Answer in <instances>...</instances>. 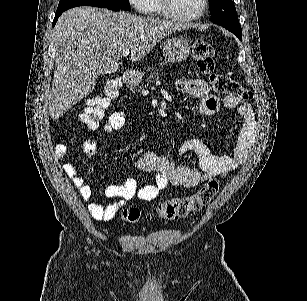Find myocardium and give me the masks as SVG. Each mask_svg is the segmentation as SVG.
Instances as JSON below:
<instances>
[{
	"mask_svg": "<svg viewBox=\"0 0 307 301\" xmlns=\"http://www.w3.org/2000/svg\"><path fill=\"white\" fill-rule=\"evenodd\" d=\"M164 4L159 7L162 13L159 17H166L168 22H195L196 18L202 17L206 9V0H200L198 11H168L171 7L170 0H161Z\"/></svg>",
	"mask_w": 307,
	"mask_h": 301,
	"instance_id": "f54148a6",
	"label": "myocardium"
}]
</instances>
